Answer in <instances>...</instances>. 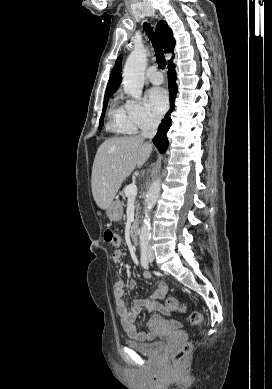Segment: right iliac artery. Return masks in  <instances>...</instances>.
<instances>
[{"label": "right iliac artery", "instance_id": "obj_1", "mask_svg": "<svg viewBox=\"0 0 272 389\" xmlns=\"http://www.w3.org/2000/svg\"><path fill=\"white\" fill-rule=\"evenodd\" d=\"M147 248L148 243L142 242L141 243V265L144 269H149V262L147 257Z\"/></svg>", "mask_w": 272, "mask_h": 389}]
</instances>
